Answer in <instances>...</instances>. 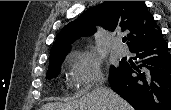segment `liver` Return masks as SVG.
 Returning <instances> with one entry per match:
<instances>
[{
	"mask_svg": "<svg viewBox=\"0 0 171 110\" xmlns=\"http://www.w3.org/2000/svg\"><path fill=\"white\" fill-rule=\"evenodd\" d=\"M40 110H133L118 94L104 86H97L78 100L68 103H48Z\"/></svg>",
	"mask_w": 171,
	"mask_h": 110,
	"instance_id": "obj_1",
	"label": "liver"
}]
</instances>
